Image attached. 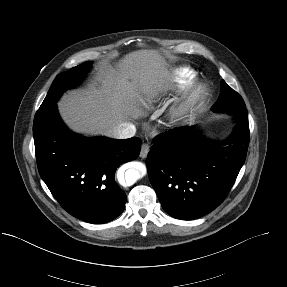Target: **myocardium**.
<instances>
[{
	"label": "myocardium",
	"instance_id": "obj_1",
	"mask_svg": "<svg viewBox=\"0 0 287 287\" xmlns=\"http://www.w3.org/2000/svg\"><path fill=\"white\" fill-rule=\"evenodd\" d=\"M208 94L209 88L206 83L202 81L191 83L170 110V119L178 121L194 111L207 98Z\"/></svg>",
	"mask_w": 287,
	"mask_h": 287
}]
</instances>
